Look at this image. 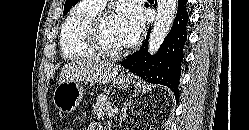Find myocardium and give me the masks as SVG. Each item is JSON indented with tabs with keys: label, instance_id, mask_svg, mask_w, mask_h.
I'll return each mask as SVG.
<instances>
[{
	"label": "myocardium",
	"instance_id": "1",
	"mask_svg": "<svg viewBox=\"0 0 249 130\" xmlns=\"http://www.w3.org/2000/svg\"><path fill=\"white\" fill-rule=\"evenodd\" d=\"M108 15L110 14L107 11H99L89 20L85 29V40L95 55L106 59H117L127 53V48L112 50L104 43L102 38V22Z\"/></svg>",
	"mask_w": 249,
	"mask_h": 130
}]
</instances>
